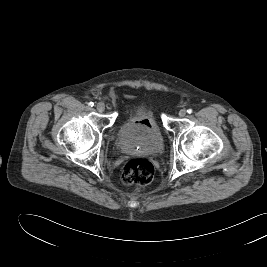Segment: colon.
Returning a JSON list of instances; mask_svg holds the SVG:
<instances>
[{"mask_svg":"<svg viewBox=\"0 0 267 267\" xmlns=\"http://www.w3.org/2000/svg\"><path fill=\"white\" fill-rule=\"evenodd\" d=\"M154 167L150 161L143 158L129 160L122 168L121 181L126 186H144L154 178Z\"/></svg>","mask_w":267,"mask_h":267,"instance_id":"colon-1","label":"colon"}]
</instances>
